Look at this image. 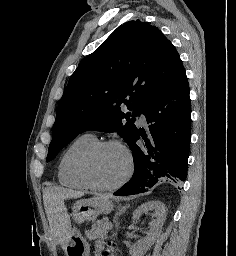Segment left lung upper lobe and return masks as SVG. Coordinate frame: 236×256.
I'll use <instances>...</instances> for the list:
<instances>
[{
    "mask_svg": "<svg viewBox=\"0 0 236 256\" xmlns=\"http://www.w3.org/2000/svg\"><path fill=\"white\" fill-rule=\"evenodd\" d=\"M182 69L178 52L157 27L140 20L121 25L71 75L47 162L87 130L117 132L129 144L137 130L134 117ZM122 103L129 112L121 111Z\"/></svg>",
    "mask_w": 236,
    "mask_h": 256,
    "instance_id": "1",
    "label": "left lung upper lobe"
}]
</instances>
